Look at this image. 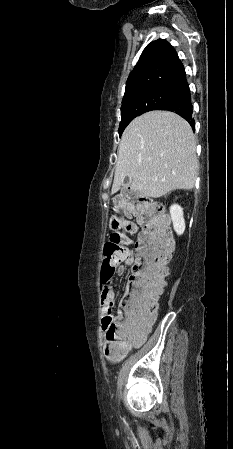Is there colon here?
<instances>
[{
  "instance_id": "1",
  "label": "colon",
  "mask_w": 233,
  "mask_h": 449,
  "mask_svg": "<svg viewBox=\"0 0 233 449\" xmlns=\"http://www.w3.org/2000/svg\"><path fill=\"white\" fill-rule=\"evenodd\" d=\"M117 205L122 213L111 222L113 233L104 246L101 278L113 272L121 258L130 253L125 246L129 241L127 234L132 231L129 217L137 216L142 231L124 302L118 314L110 309L103 319L105 355L111 360L122 357L134 342L139 322L156 316L165 284L166 264L173 251L168 218L161 202L137 193H125Z\"/></svg>"
}]
</instances>
